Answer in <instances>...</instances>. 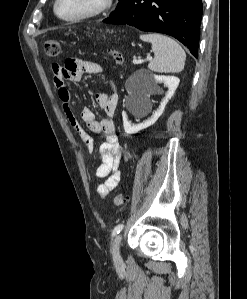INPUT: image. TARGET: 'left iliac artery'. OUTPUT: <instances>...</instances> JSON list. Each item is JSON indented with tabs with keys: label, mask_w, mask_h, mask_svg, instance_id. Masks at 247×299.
Masks as SVG:
<instances>
[{
	"label": "left iliac artery",
	"mask_w": 247,
	"mask_h": 299,
	"mask_svg": "<svg viewBox=\"0 0 247 299\" xmlns=\"http://www.w3.org/2000/svg\"><path fill=\"white\" fill-rule=\"evenodd\" d=\"M123 227H124V224H119V225H117V226L114 228L113 232H112V237H114L115 235L119 234L120 231L123 229Z\"/></svg>",
	"instance_id": "44dca946"
}]
</instances>
